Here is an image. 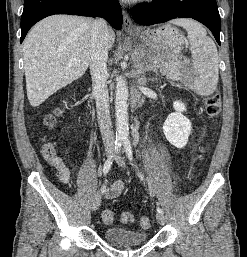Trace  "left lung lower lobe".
Masks as SVG:
<instances>
[{
    "mask_svg": "<svg viewBox=\"0 0 247 257\" xmlns=\"http://www.w3.org/2000/svg\"><path fill=\"white\" fill-rule=\"evenodd\" d=\"M132 17L143 25H153L175 18H193L207 26L221 45V20L216 0H154L152 4L136 5L132 9Z\"/></svg>",
    "mask_w": 247,
    "mask_h": 257,
    "instance_id": "1",
    "label": "left lung lower lobe"
}]
</instances>
